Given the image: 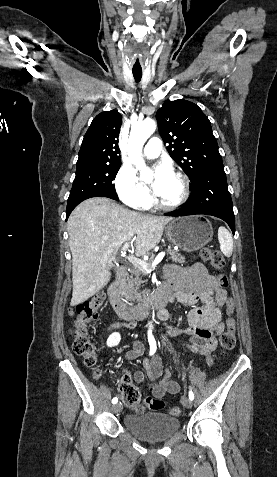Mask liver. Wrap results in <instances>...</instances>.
<instances>
[{"label":"liver","instance_id":"liver-1","mask_svg":"<svg viewBox=\"0 0 277 477\" xmlns=\"http://www.w3.org/2000/svg\"><path fill=\"white\" fill-rule=\"evenodd\" d=\"M172 217L151 216L128 210L112 200L94 197L79 204L67 223L72 254L75 306L104 288L117 250L132 241L137 256L150 252L161 240Z\"/></svg>","mask_w":277,"mask_h":477}]
</instances>
